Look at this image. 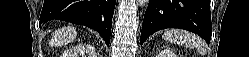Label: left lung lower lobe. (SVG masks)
I'll list each match as a JSON object with an SVG mask.
<instances>
[{
    "label": "left lung lower lobe",
    "instance_id": "1",
    "mask_svg": "<svg viewBox=\"0 0 249 57\" xmlns=\"http://www.w3.org/2000/svg\"><path fill=\"white\" fill-rule=\"evenodd\" d=\"M181 28L211 40L212 24L209 0H150L145 12L140 44L154 32Z\"/></svg>",
    "mask_w": 249,
    "mask_h": 57
}]
</instances>
